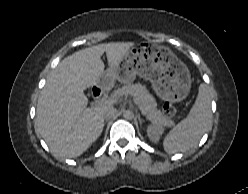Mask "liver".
I'll use <instances>...</instances> for the list:
<instances>
[{"mask_svg": "<svg viewBox=\"0 0 248 194\" xmlns=\"http://www.w3.org/2000/svg\"><path fill=\"white\" fill-rule=\"evenodd\" d=\"M133 46V42H111L85 48L64 58L52 72L38 97L36 125L55 154L78 157L101 135L108 105L86 108L84 90L97 85L103 76L104 52L106 74L115 76Z\"/></svg>", "mask_w": 248, "mask_h": 194, "instance_id": "1", "label": "liver"}]
</instances>
